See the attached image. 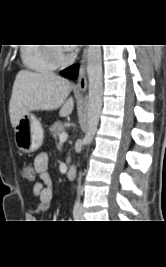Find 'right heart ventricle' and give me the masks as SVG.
<instances>
[{
    "label": "right heart ventricle",
    "instance_id": "obj_1",
    "mask_svg": "<svg viewBox=\"0 0 166 267\" xmlns=\"http://www.w3.org/2000/svg\"><path fill=\"white\" fill-rule=\"evenodd\" d=\"M21 60L30 70L46 73L55 70L56 66L48 59L45 47L40 44H29L21 48Z\"/></svg>",
    "mask_w": 166,
    "mask_h": 267
}]
</instances>
